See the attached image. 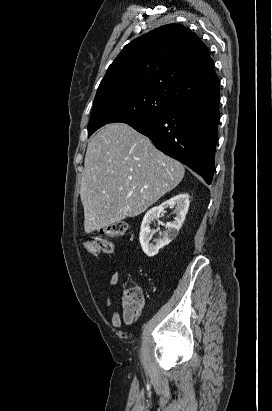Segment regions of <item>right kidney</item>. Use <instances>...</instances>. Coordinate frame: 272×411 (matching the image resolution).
Instances as JSON below:
<instances>
[{
  "instance_id": "1",
  "label": "right kidney",
  "mask_w": 272,
  "mask_h": 411,
  "mask_svg": "<svg viewBox=\"0 0 272 411\" xmlns=\"http://www.w3.org/2000/svg\"><path fill=\"white\" fill-rule=\"evenodd\" d=\"M189 195L186 193H180L171 199L163 202L161 205L151 208L144 216L141 231H140V244L143 252L149 256L153 257L158 254L159 250L164 246L168 245L173 239L176 238L179 229L182 226V223L185 220V216L189 208ZM175 206L176 218L173 222L166 225L167 230L164 234L156 239L154 244H150L153 233L151 232L150 225L151 223L158 219L160 213L168 207Z\"/></svg>"
}]
</instances>
